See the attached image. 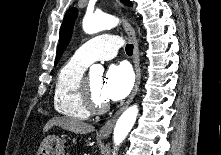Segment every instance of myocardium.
<instances>
[{
    "instance_id": "obj_1",
    "label": "myocardium",
    "mask_w": 221,
    "mask_h": 155,
    "mask_svg": "<svg viewBox=\"0 0 221 155\" xmlns=\"http://www.w3.org/2000/svg\"><path fill=\"white\" fill-rule=\"evenodd\" d=\"M82 103L89 113L101 114L109 108L108 102H98L92 94L87 77H83L79 87Z\"/></svg>"
}]
</instances>
